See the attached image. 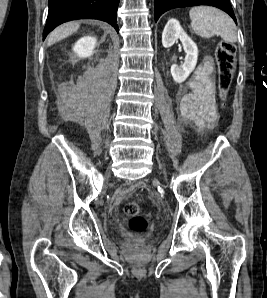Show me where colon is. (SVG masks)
<instances>
[{
    "mask_svg": "<svg viewBox=\"0 0 267 298\" xmlns=\"http://www.w3.org/2000/svg\"><path fill=\"white\" fill-rule=\"evenodd\" d=\"M218 65V87L222 101H225L233 79L236 64V47L229 42H221L216 52ZM141 207L137 202H129L124 206V213L129 219V227L135 232L147 229V221L140 215Z\"/></svg>",
    "mask_w": 267,
    "mask_h": 298,
    "instance_id": "5ec220e1",
    "label": "colon"
}]
</instances>
